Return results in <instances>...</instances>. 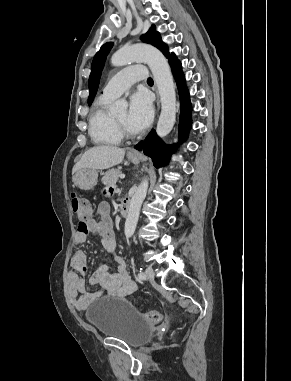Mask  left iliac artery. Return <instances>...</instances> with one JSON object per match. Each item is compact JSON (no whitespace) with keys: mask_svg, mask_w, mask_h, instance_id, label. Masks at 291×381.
I'll return each instance as SVG.
<instances>
[{"mask_svg":"<svg viewBox=\"0 0 291 381\" xmlns=\"http://www.w3.org/2000/svg\"><path fill=\"white\" fill-rule=\"evenodd\" d=\"M146 278V275L144 274V272L143 271H140L139 273H138V279L139 280H144Z\"/></svg>","mask_w":291,"mask_h":381,"instance_id":"1","label":"left iliac artery"}]
</instances>
